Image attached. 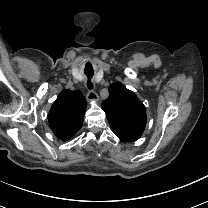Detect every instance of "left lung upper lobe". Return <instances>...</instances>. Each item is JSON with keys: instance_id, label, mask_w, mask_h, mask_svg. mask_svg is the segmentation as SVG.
Returning <instances> with one entry per match:
<instances>
[{"instance_id": "1", "label": "left lung upper lobe", "mask_w": 208, "mask_h": 208, "mask_svg": "<svg viewBox=\"0 0 208 208\" xmlns=\"http://www.w3.org/2000/svg\"><path fill=\"white\" fill-rule=\"evenodd\" d=\"M111 128L142 134L146 125L145 106L134 92L120 82L109 87V97L102 103Z\"/></svg>"}]
</instances>
